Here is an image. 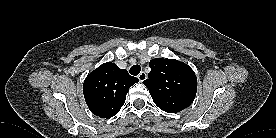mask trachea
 <instances>
[{"label":"trachea","mask_w":276,"mask_h":138,"mask_svg":"<svg viewBox=\"0 0 276 138\" xmlns=\"http://www.w3.org/2000/svg\"><path fill=\"white\" fill-rule=\"evenodd\" d=\"M140 71H141V67L139 65H134L129 70L130 74L133 76L138 75Z\"/></svg>","instance_id":"1"}]
</instances>
